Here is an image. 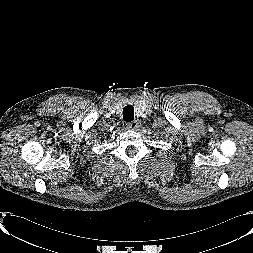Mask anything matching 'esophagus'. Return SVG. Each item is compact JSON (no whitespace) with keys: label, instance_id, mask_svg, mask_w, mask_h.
Wrapping results in <instances>:
<instances>
[{"label":"esophagus","instance_id":"34e87169","mask_svg":"<svg viewBox=\"0 0 253 253\" xmlns=\"http://www.w3.org/2000/svg\"><path fill=\"white\" fill-rule=\"evenodd\" d=\"M126 125H127V128L131 129V130H135V129H137L139 127V123H138L137 120H134V121H132L130 123H127Z\"/></svg>","mask_w":253,"mask_h":253}]
</instances>
